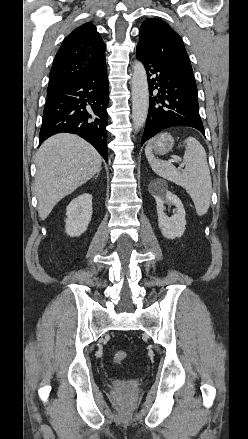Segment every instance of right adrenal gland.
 I'll return each mask as SVG.
<instances>
[{"label":"right adrenal gland","mask_w":248,"mask_h":439,"mask_svg":"<svg viewBox=\"0 0 248 439\" xmlns=\"http://www.w3.org/2000/svg\"><path fill=\"white\" fill-rule=\"evenodd\" d=\"M99 173H100V171L97 173V175L95 176V179H97L98 178V176H99Z\"/></svg>","instance_id":"1"}]
</instances>
